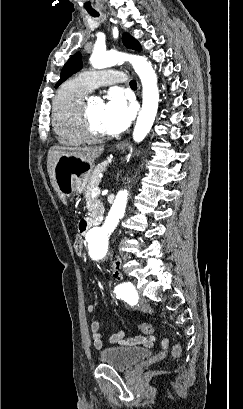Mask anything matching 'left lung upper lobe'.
<instances>
[{
	"mask_svg": "<svg viewBox=\"0 0 243 409\" xmlns=\"http://www.w3.org/2000/svg\"><path fill=\"white\" fill-rule=\"evenodd\" d=\"M123 43L127 48L134 50H141V46L136 39H134L129 34L125 33L122 37ZM82 56L79 52L75 53L62 68L60 79L57 82L56 87H58L63 81L70 77L75 72L82 69Z\"/></svg>",
	"mask_w": 243,
	"mask_h": 409,
	"instance_id": "left-lung-upper-lobe-1",
	"label": "left lung upper lobe"
}]
</instances>
